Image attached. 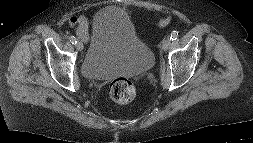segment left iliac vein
I'll list each match as a JSON object with an SVG mask.
<instances>
[{
  "mask_svg": "<svg viewBox=\"0 0 253 143\" xmlns=\"http://www.w3.org/2000/svg\"><path fill=\"white\" fill-rule=\"evenodd\" d=\"M170 45H171V40L170 39H164L162 41V44H161L162 50H164V51L168 50Z\"/></svg>",
  "mask_w": 253,
  "mask_h": 143,
  "instance_id": "4c4485c4",
  "label": "left iliac vein"
}]
</instances>
